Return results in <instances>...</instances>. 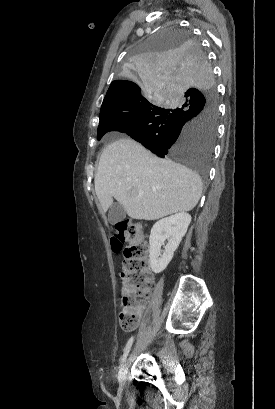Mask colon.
<instances>
[{"instance_id": "1", "label": "colon", "mask_w": 275, "mask_h": 409, "mask_svg": "<svg viewBox=\"0 0 275 409\" xmlns=\"http://www.w3.org/2000/svg\"><path fill=\"white\" fill-rule=\"evenodd\" d=\"M110 245L113 250H125L118 325L121 330H136L144 300L154 284L149 269L150 244L140 223L124 220L113 227Z\"/></svg>"}]
</instances>
